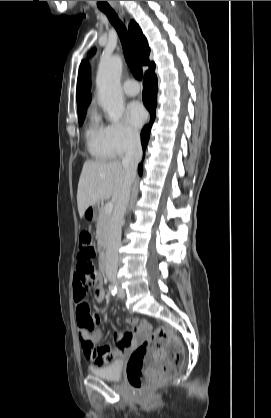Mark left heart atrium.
<instances>
[{"mask_svg": "<svg viewBox=\"0 0 271 418\" xmlns=\"http://www.w3.org/2000/svg\"><path fill=\"white\" fill-rule=\"evenodd\" d=\"M126 119L132 127L139 128L146 119L143 105L138 101L130 102L126 108Z\"/></svg>", "mask_w": 271, "mask_h": 418, "instance_id": "39dd6f15", "label": "left heart atrium"}]
</instances>
